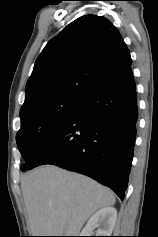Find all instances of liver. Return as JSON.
Segmentation results:
<instances>
[{"mask_svg":"<svg viewBox=\"0 0 158 237\" xmlns=\"http://www.w3.org/2000/svg\"><path fill=\"white\" fill-rule=\"evenodd\" d=\"M21 190L33 236H78L92 214L115 203L109 188L52 165L25 173Z\"/></svg>","mask_w":158,"mask_h":237,"instance_id":"liver-1","label":"liver"}]
</instances>
